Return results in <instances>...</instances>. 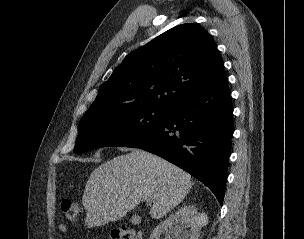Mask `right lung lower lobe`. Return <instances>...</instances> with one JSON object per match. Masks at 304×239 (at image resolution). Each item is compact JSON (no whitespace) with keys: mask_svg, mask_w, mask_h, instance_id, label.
<instances>
[{"mask_svg":"<svg viewBox=\"0 0 304 239\" xmlns=\"http://www.w3.org/2000/svg\"><path fill=\"white\" fill-rule=\"evenodd\" d=\"M233 107L227 79L167 109L160 126L127 144L156 154L204 183L223 204L231 138Z\"/></svg>","mask_w":304,"mask_h":239,"instance_id":"98d812e1","label":"right lung lower lobe"}]
</instances>
